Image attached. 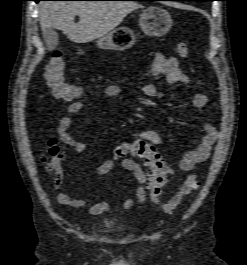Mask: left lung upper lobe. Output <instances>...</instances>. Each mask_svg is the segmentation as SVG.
<instances>
[{
  "label": "left lung upper lobe",
  "instance_id": "5c2ea615",
  "mask_svg": "<svg viewBox=\"0 0 247 265\" xmlns=\"http://www.w3.org/2000/svg\"><path fill=\"white\" fill-rule=\"evenodd\" d=\"M203 1H212V0H203Z\"/></svg>",
  "mask_w": 247,
  "mask_h": 265
}]
</instances>
